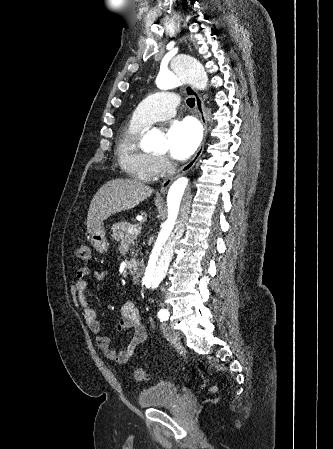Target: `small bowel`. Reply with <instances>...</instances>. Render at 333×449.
Returning <instances> with one entry per match:
<instances>
[{"instance_id":"small-bowel-1","label":"small bowel","mask_w":333,"mask_h":449,"mask_svg":"<svg viewBox=\"0 0 333 449\" xmlns=\"http://www.w3.org/2000/svg\"><path fill=\"white\" fill-rule=\"evenodd\" d=\"M89 275L90 269L88 267H82L77 271L70 286L72 298L81 308L85 323L90 332L95 335L96 344L106 358L118 364H124L133 356L136 347L145 341L147 336L145 326L135 304L131 301L123 303L120 309L121 318L118 323V329L124 335L125 343L122 349H113L110 338L101 333V323L98 315L89 306L85 296ZM106 276V271L96 270L94 272V277L98 281L104 280Z\"/></svg>"}]
</instances>
